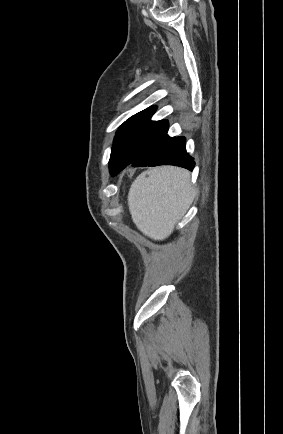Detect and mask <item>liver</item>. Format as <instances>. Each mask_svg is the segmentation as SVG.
<instances>
[{"instance_id": "obj_1", "label": "liver", "mask_w": 283, "mask_h": 434, "mask_svg": "<svg viewBox=\"0 0 283 434\" xmlns=\"http://www.w3.org/2000/svg\"><path fill=\"white\" fill-rule=\"evenodd\" d=\"M195 196L189 171L162 166L142 172L132 183L128 207L136 227L153 240H164Z\"/></svg>"}]
</instances>
